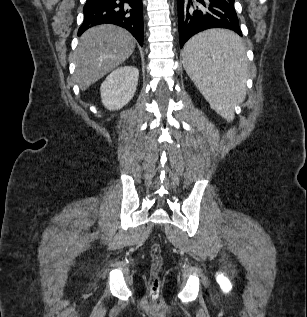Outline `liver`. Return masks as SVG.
Wrapping results in <instances>:
<instances>
[{"label": "liver", "instance_id": "6515ba94", "mask_svg": "<svg viewBox=\"0 0 307 317\" xmlns=\"http://www.w3.org/2000/svg\"><path fill=\"white\" fill-rule=\"evenodd\" d=\"M134 37L115 25L92 27L79 39L75 50V78L81 90L126 61L135 49Z\"/></svg>", "mask_w": 307, "mask_h": 317}]
</instances>
